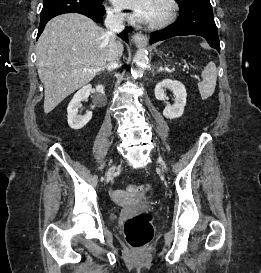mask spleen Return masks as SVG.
Wrapping results in <instances>:
<instances>
[{"instance_id": "obj_1", "label": "spleen", "mask_w": 261, "mask_h": 273, "mask_svg": "<svg viewBox=\"0 0 261 273\" xmlns=\"http://www.w3.org/2000/svg\"><path fill=\"white\" fill-rule=\"evenodd\" d=\"M202 81L198 82V88L202 100L209 98L215 91L217 80V68L214 62L210 61L202 71Z\"/></svg>"}]
</instances>
